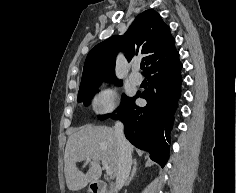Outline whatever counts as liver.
<instances>
[{"instance_id":"1","label":"liver","mask_w":237,"mask_h":193,"mask_svg":"<svg viewBox=\"0 0 237 193\" xmlns=\"http://www.w3.org/2000/svg\"><path fill=\"white\" fill-rule=\"evenodd\" d=\"M131 146V145H130ZM133 147L131 146V151ZM91 158L86 174L80 171L77 163ZM118 143L113 128L86 124L68 138L64 154V173L69 190L77 191L89 183L97 182L102 169L99 161L105 160L113 171L118 172Z\"/></svg>"}]
</instances>
